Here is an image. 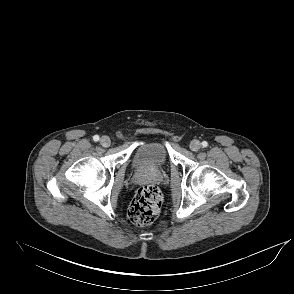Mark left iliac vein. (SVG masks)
I'll return each instance as SVG.
<instances>
[{"label": "left iliac vein", "mask_w": 294, "mask_h": 294, "mask_svg": "<svg viewBox=\"0 0 294 294\" xmlns=\"http://www.w3.org/2000/svg\"><path fill=\"white\" fill-rule=\"evenodd\" d=\"M201 148V143L198 140H193L190 143V149L194 152L199 151Z\"/></svg>", "instance_id": "left-iliac-vein-1"}]
</instances>
